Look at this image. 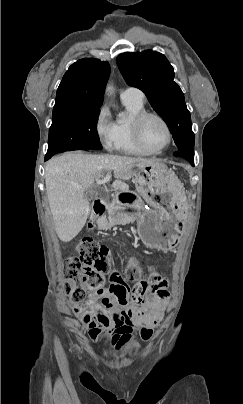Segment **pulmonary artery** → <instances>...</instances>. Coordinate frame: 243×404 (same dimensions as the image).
Listing matches in <instances>:
<instances>
[{
	"label": "pulmonary artery",
	"instance_id": "pulmonary-artery-1",
	"mask_svg": "<svg viewBox=\"0 0 243 404\" xmlns=\"http://www.w3.org/2000/svg\"><path fill=\"white\" fill-rule=\"evenodd\" d=\"M131 90H133V88L125 87V88L122 89L121 95H125V94L129 93ZM138 97L143 100L144 99V94L141 92V95H139Z\"/></svg>",
	"mask_w": 243,
	"mask_h": 404
}]
</instances>
